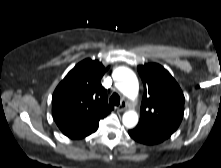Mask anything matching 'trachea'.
<instances>
[{"label":"trachea","instance_id":"trachea-1","mask_svg":"<svg viewBox=\"0 0 221 168\" xmlns=\"http://www.w3.org/2000/svg\"><path fill=\"white\" fill-rule=\"evenodd\" d=\"M109 102L112 105L118 106L120 104V96L117 93L112 94Z\"/></svg>","mask_w":221,"mask_h":168}]
</instances>
